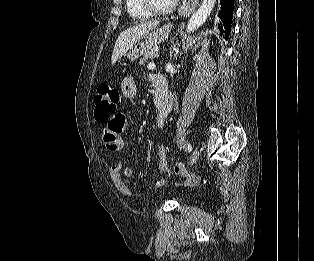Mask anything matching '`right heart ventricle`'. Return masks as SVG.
<instances>
[{
    "label": "right heart ventricle",
    "mask_w": 314,
    "mask_h": 261,
    "mask_svg": "<svg viewBox=\"0 0 314 261\" xmlns=\"http://www.w3.org/2000/svg\"><path fill=\"white\" fill-rule=\"evenodd\" d=\"M125 4L129 16L135 20H145L152 16L141 6L139 0H125Z\"/></svg>",
    "instance_id": "obj_1"
}]
</instances>
